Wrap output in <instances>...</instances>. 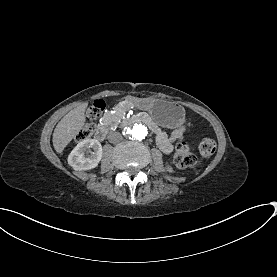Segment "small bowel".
Wrapping results in <instances>:
<instances>
[{"label": "small bowel", "instance_id": "1", "mask_svg": "<svg viewBox=\"0 0 277 277\" xmlns=\"http://www.w3.org/2000/svg\"><path fill=\"white\" fill-rule=\"evenodd\" d=\"M154 126H152L153 128ZM156 134V142L160 150L166 154H169L174 149V142L182 138L187 130L186 124H179L171 133L166 132L164 129L154 127Z\"/></svg>", "mask_w": 277, "mask_h": 277}]
</instances>
